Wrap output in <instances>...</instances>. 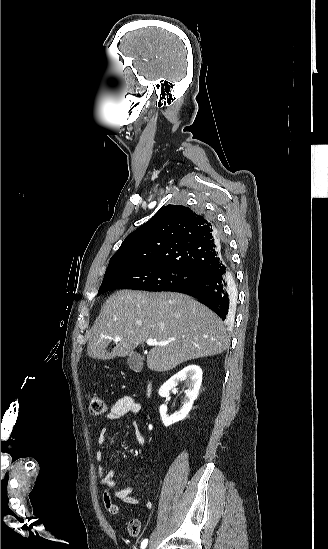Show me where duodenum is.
I'll use <instances>...</instances> for the list:
<instances>
[{"mask_svg": "<svg viewBox=\"0 0 328 549\" xmlns=\"http://www.w3.org/2000/svg\"><path fill=\"white\" fill-rule=\"evenodd\" d=\"M151 393H152V385H151V383H148V385H147V395L150 396Z\"/></svg>", "mask_w": 328, "mask_h": 549, "instance_id": "duodenum-1", "label": "duodenum"}]
</instances>
